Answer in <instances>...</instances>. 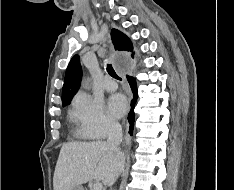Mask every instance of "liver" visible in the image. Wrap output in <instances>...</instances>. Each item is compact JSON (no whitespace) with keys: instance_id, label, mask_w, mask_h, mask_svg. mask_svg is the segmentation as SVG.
Wrapping results in <instances>:
<instances>
[{"instance_id":"1","label":"liver","mask_w":234,"mask_h":190,"mask_svg":"<svg viewBox=\"0 0 234 190\" xmlns=\"http://www.w3.org/2000/svg\"><path fill=\"white\" fill-rule=\"evenodd\" d=\"M124 165L117 160L104 141L69 142L61 147L53 177V190H72L91 179L109 186Z\"/></svg>"}]
</instances>
